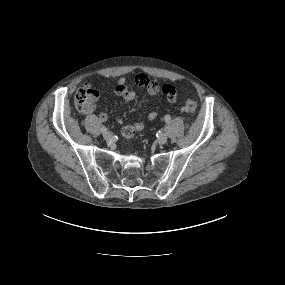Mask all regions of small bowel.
I'll use <instances>...</instances> for the list:
<instances>
[{"label": "small bowel", "mask_w": 285, "mask_h": 285, "mask_svg": "<svg viewBox=\"0 0 285 285\" xmlns=\"http://www.w3.org/2000/svg\"><path fill=\"white\" fill-rule=\"evenodd\" d=\"M136 83L145 88L148 94L152 96L161 95L167 99L169 103H175L180 95V90L175 88L172 85H163L160 86L156 81L150 79L148 76L144 74H140L136 77ZM115 94L121 97L125 102L131 103L136 99V93L128 87L127 80L125 78H121L118 80L115 86ZM97 100L98 93L96 92L93 97L89 100L88 104L84 108L86 114H93L97 109ZM98 119L101 122H106L108 120V114L106 112H100L97 115ZM158 117V109L155 108L148 114V119L150 121L155 120ZM143 122H136L133 124V128L136 131H141L144 129Z\"/></svg>", "instance_id": "obj_1"}]
</instances>
